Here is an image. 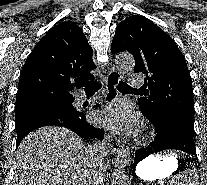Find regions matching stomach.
I'll list each match as a JSON object with an SVG mask.
<instances>
[{"label":"stomach","instance_id":"obj_1","mask_svg":"<svg viewBox=\"0 0 207 185\" xmlns=\"http://www.w3.org/2000/svg\"><path fill=\"white\" fill-rule=\"evenodd\" d=\"M177 167V158L170 155H152L137 165L136 174L145 181L162 180L175 172Z\"/></svg>","mask_w":207,"mask_h":185}]
</instances>
